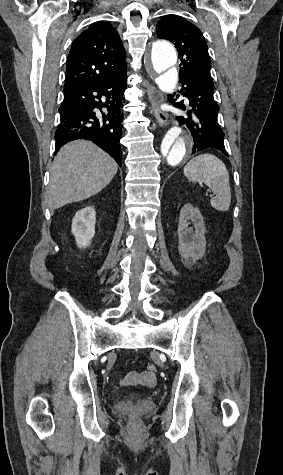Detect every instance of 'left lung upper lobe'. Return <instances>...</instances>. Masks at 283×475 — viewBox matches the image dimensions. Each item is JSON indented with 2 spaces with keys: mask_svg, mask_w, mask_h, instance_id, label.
<instances>
[{
  "mask_svg": "<svg viewBox=\"0 0 283 475\" xmlns=\"http://www.w3.org/2000/svg\"><path fill=\"white\" fill-rule=\"evenodd\" d=\"M159 38L175 44L181 60L179 77H195L213 83L208 47L201 31L177 15L162 18L156 27Z\"/></svg>",
  "mask_w": 283,
  "mask_h": 475,
  "instance_id": "left-lung-upper-lobe-1",
  "label": "left lung upper lobe"
}]
</instances>
